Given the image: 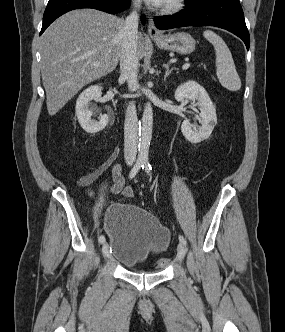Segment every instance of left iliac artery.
<instances>
[{"mask_svg":"<svg viewBox=\"0 0 285 332\" xmlns=\"http://www.w3.org/2000/svg\"><path fill=\"white\" fill-rule=\"evenodd\" d=\"M143 169L147 172V174L151 177V165L148 161H145L144 162V166H143ZM179 241L180 243H182L184 246H186L187 242H186V239L182 236V235H179Z\"/></svg>","mask_w":285,"mask_h":332,"instance_id":"44dca946","label":"left iliac artery"}]
</instances>
